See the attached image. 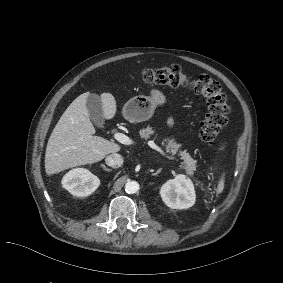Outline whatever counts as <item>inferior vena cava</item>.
I'll list each match as a JSON object with an SVG mask.
<instances>
[{
    "label": "inferior vena cava",
    "instance_id": "602c4592",
    "mask_svg": "<svg viewBox=\"0 0 283 283\" xmlns=\"http://www.w3.org/2000/svg\"><path fill=\"white\" fill-rule=\"evenodd\" d=\"M105 161L112 168H119L123 164V159L119 154H110L106 157Z\"/></svg>",
    "mask_w": 283,
    "mask_h": 283
}]
</instances>
